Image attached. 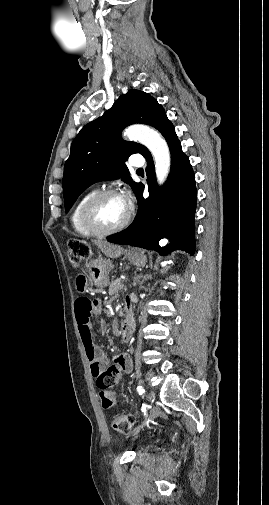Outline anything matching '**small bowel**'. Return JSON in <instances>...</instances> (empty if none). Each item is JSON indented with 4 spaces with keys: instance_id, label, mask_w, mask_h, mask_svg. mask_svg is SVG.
<instances>
[{
    "instance_id": "small-bowel-1",
    "label": "small bowel",
    "mask_w": 269,
    "mask_h": 505,
    "mask_svg": "<svg viewBox=\"0 0 269 505\" xmlns=\"http://www.w3.org/2000/svg\"><path fill=\"white\" fill-rule=\"evenodd\" d=\"M76 286L74 288V309L79 333L85 348L86 356L90 362V367L93 376H97L108 365V359L105 353L94 344L93 328L91 324L92 315L101 313V300L95 295H90L87 289L86 275L83 272H78L75 275ZM107 330V324L104 321L99 322L97 331L104 334ZM111 367L115 368L119 373V378L131 371L132 359L129 354L122 353L114 358Z\"/></svg>"
}]
</instances>
